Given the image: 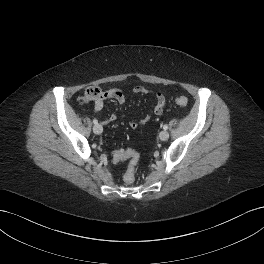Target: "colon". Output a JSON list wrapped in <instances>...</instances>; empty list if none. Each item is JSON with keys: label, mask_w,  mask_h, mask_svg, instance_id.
Segmentation results:
<instances>
[{"label": "colon", "mask_w": 264, "mask_h": 264, "mask_svg": "<svg viewBox=\"0 0 264 264\" xmlns=\"http://www.w3.org/2000/svg\"><path fill=\"white\" fill-rule=\"evenodd\" d=\"M103 92L98 87H89L85 91V97L89 101H95L102 96ZM179 106L185 107L188 104V99L185 96H178L175 99ZM118 156L129 161L128 167L124 176V181L127 184H132L135 180L136 166L139 162V153L134 149L122 150Z\"/></svg>", "instance_id": "5ec220e1"}]
</instances>
